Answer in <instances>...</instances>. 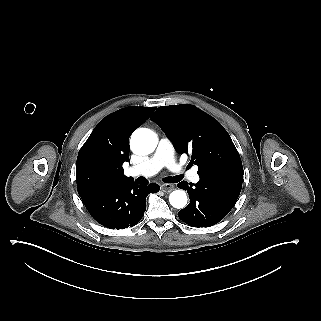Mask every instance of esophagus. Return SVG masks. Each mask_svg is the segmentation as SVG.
Wrapping results in <instances>:
<instances>
[{
    "instance_id": "34e87169",
    "label": "esophagus",
    "mask_w": 321,
    "mask_h": 321,
    "mask_svg": "<svg viewBox=\"0 0 321 321\" xmlns=\"http://www.w3.org/2000/svg\"><path fill=\"white\" fill-rule=\"evenodd\" d=\"M173 189H174V185L173 184H162L161 185V190L164 193H170Z\"/></svg>"
}]
</instances>
